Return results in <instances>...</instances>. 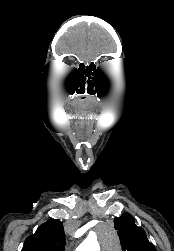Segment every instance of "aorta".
I'll use <instances>...</instances> for the list:
<instances>
[{"mask_svg": "<svg viewBox=\"0 0 174 251\" xmlns=\"http://www.w3.org/2000/svg\"><path fill=\"white\" fill-rule=\"evenodd\" d=\"M106 239V250L116 251L118 247V236L113 227L107 226L104 229ZM76 251H100L99 244L94 240H85L76 249Z\"/></svg>", "mask_w": 174, "mask_h": 251, "instance_id": "obj_1", "label": "aorta"}]
</instances>
